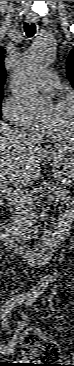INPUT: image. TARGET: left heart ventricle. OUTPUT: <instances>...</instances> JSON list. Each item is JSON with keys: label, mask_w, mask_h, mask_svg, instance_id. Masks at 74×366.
I'll use <instances>...</instances> for the list:
<instances>
[{"label": "left heart ventricle", "mask_w": 74, "mask_h": 366, "mask_svg": "<svg viewBox=\"0 0 74 366\" xmlns=\"http://www.w3.org/2000/svg\"><path fill=\"white\" fill-rule=\"evenodd\" d=\"M44 119L48 120L46 127L59 137L73 136L72 114L69 106L56 108L50 106L44 114Z\"/></svg>", "instance_id": "b2bd125f"}]
</instances>
